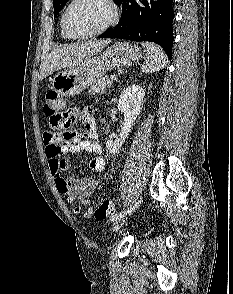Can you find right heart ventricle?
Here are the masks:
<instances>
[{
	"label": "right heart ventricle",
	"instance_id": "1",
	"mask_svg": "<svg viewBox=\"0 0 233 294\" xmlns=\"http://www.w3.org/2000/svg\"><path fill=\"white\" fill-rule=\"evenodd\" d=\"M60 28H61V34L64 38L66 39H70V37L64 32V30L62 29V25H60Z\"/></svg>",
	"mask_w": 233,
	"mask_h": 294
}]
</instances>
